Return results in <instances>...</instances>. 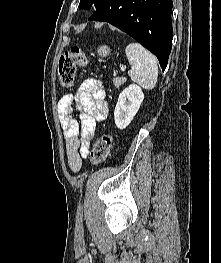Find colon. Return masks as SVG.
I'll use <instances>...</instances> for the list:
<instances>
[{
	"label": "colon",
	"instance_id": "5ec220e1",
	"mask_svg": "<svg viewBox=\"0 0 221 263\" xmlns=\"http://www.w3.org/2000/svg\"><path fill=\"white\" fill-rule=\"evenodd\" d=\"M88 58L85 52L79 47H72L64 52L58 62V76L63 87L72 86L78 66H86ZM113 143V137L110 134H104L95 142L90 153V161L98 164L107 159L110 154Z\"/></svg>",
	"mask_w": 221,
	"mask_h": 263
}]
</instances>
